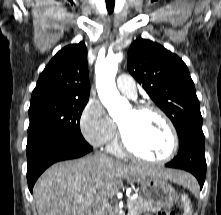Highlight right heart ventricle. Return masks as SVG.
<instances>
[{
  "label": "right heart ventricle",
  "mask_w": 221,
  "mask_h": 215,
  "mask_svg": "<svg viewBox=\"0 0 221 215\" xmlns=\"http://www.w3.org/2000/svg\"><path fill=\"white\" fill-rule=\"evenodd\" d=\"M108 149H109L110 152H112V153H114L118 156L123 155V152L121 150L119 142L116 138L109 144Z\"/></svg>",
  "instance_id": "obj_1"
}]
</instances>
